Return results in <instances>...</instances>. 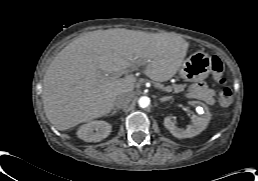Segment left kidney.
<instances>
[{
    "instance_id": "left-kidney-1",
    "label": "left kidney",
    "mask_w": 258,
    "mask_h": 181,
    "mask_svg": "<svg viewBox=\"0 0 258 181\" xmlns=\"http://www.w3.org/2000/svg\"><path fill=\"white\" fill-rule=\"evenodd\" d=\"M189 104L196 107V111L199 115L192 116L193 125L189 126L187 129L178 128L171 117H166L164 119V126L177 138H191L200 134L206 129L211 119V113L204 103L200 101H191Z\"/></svg>"
}]
</instances>
